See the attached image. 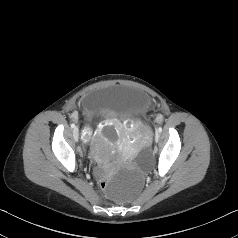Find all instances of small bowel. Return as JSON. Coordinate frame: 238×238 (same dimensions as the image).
Returning <instances> with one entry per match:
<instances>
[{"instance_id":"obj_1","label":"small bowel","mask_w":238,"mask_h":238,"mask_svg":"<svg viewBox=\"0 0 238 238\" xmlns=\"http://www.w3.org/2000/svg\"><path fill=\"white\" fill-rule=\"evenodd\" d=\"M71 118H72V119H76L77 116H76L75 114H72V115H71Z\"/></svg>"}]
</instances>
